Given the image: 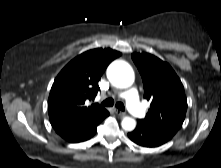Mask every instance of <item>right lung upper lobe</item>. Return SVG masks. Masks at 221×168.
Segmentation results:
<instances>
[{
    "label": "right lung upper lobe",
    "mask_w": 221,
    "mask_h": 168,
    "mask_svg": "<svg viewBox=\"0 0 221 168\" xmlns=\"http://www.w3.org/2000/svg\"><path fill=\"white\" fill-rule=\"evenodd\" d=\"M121 55L97 48L78 55L56 77L48 99V113L55 131L92 122L107 111L98 103L88 105L99 90L98 81L111 61Z\"/></svg>",
    "instance_id": "obj_1"
}]
</instances>
